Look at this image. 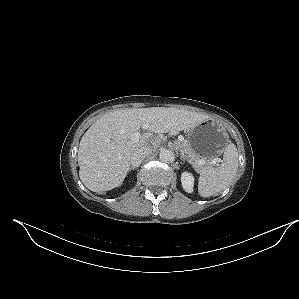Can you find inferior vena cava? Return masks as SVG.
<instances>
[{
  "instance_id": "602c4592",
  "label": "inferior vena cava",
  "mask_w": 299,
  "mask_h": 299,
  "mask_svg": "<svg viewBox=\"0 0 299 299\" xmlns=\"http://www.w3.org/2000/svg\"><path fill=\"white\" fill-rule=\"evenodd\" d=\"M152 152L151 148H140L134 151V153L130 157V163L133 167H138L145 157Z\"/></svg>"
}]
</instances>
